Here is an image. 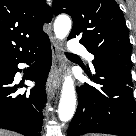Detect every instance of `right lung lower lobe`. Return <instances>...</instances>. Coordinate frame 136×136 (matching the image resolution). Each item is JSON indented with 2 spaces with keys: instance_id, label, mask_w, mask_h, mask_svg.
<instances>
[{
  "instance_id": "right-lung-lower-lobe-1",
  "label": "right lung lower lobe",
  "mask_w": 136,
  "mask_h": 136,
  "mask_svg": "<svg viewBox=\"0 0 136 136\" xmlns=\"http://www.w3.org/2000/svg\"><path fill=\"white\" fill-rule=\"evenodd\" d=\"M19 63L31 64L26 78L36 82L30 92L19 93L14 76ZM52 64L49 38L46 37L25 53L0 63V128L25 136H40L42 109L46 102L45 83ZM22 87V86H21Z\"/></svg>"
}]
</instances>
